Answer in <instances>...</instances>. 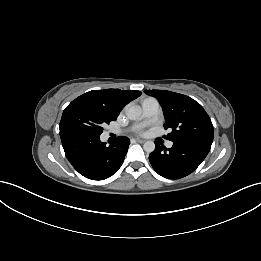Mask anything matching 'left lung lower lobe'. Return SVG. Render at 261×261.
<instances>
[{
	"label": "left lung lower lobe",
	"mask_w": 261,
	"mask_h": 261,
	"mask_svg": "<svg viewBox=\"0 0 261 261\" xmlns=\"http://www.w3.org/2000/svg\"><path fill=\"white\" fill-rule=\"evenodd\" d=\"M155 144L149 161L159 175L169 179H180L195 171L211 148V144L194 141H174L169 149Z\"/></svg>",
	"instance_id": "left-lung-lower-lobe-1"
}]
</instances>
